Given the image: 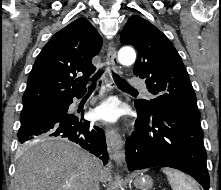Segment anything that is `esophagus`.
Instances as JSON below:
<instances>
[{
  "label": "esophagus",
  "mask_w": 221,
  "mask_h": 190,
  "mask_svg": "<svg viewBox=\"0 0 221 190\" xmlns=\"http://www.w3.org/2000/svg\"><path fill=\"white\" fill-rule=\"evenodd\" d=\"M107 58L110 62V68L106 71V83L109 86L113 85L112 70H117L118 60L117 51L113 42L108 43ZM106 141L110 158L118 164H122L125 155L123 152V141L118 133L117 128L113 126H107L105 128Z\"/></svg>",
  "instance_id": "esophagus-1"
}]
</instances>
